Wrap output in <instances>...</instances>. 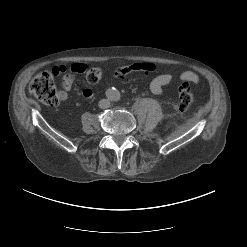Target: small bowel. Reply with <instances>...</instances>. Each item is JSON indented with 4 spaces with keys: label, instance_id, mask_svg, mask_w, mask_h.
Segmentation results:
<instances>
[{
    "label": "small bowel",
    "instance_id": "c3829d8e",
    "mask_svg": "<svg viewBox=\"0 0 247 247\" xmlns=\"http://www.w3.org/2000/svg\"><path fill=\"white\" fill-rule=\"evenodd\" d=\"M156 67L151 63H134L130 66L118 68L115 71L117 77H123L133 71L153 72ZM88 70V65L85 63L77 62L67 67L65 65L54 66L52 73L55 76L63 75L62 90L59 92L61 101L67 99L68 92L72 89L74 80L77 75L83 74ZM173 79L170 73H161L155 76L150 82V90L157 96H163L165 94L164 87L168 85ZM180 80L189 83H198L199 77L192 71H184L180 74ZM83 96L86 99H91L94 96V91L87 88L83 91Z\"/></svg>",
    "mask_w": 247,
    "mask_h": 247
}]
</instances>
